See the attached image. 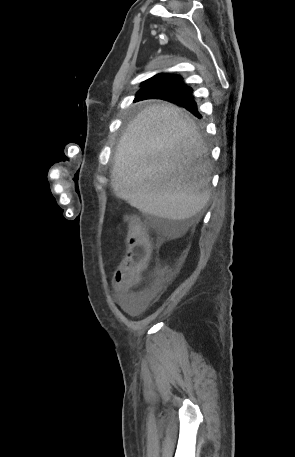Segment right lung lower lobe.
<instances>
[{"instance_id": "1", "label": "right lung lower lobe", "mask_w": 295, "mask_h": 457, "mask_svg": "<svg viewBox=\"0 0 295 457\" xmlns=\"http://www.w3.org/2000/svg\"><path fill=\"white\" fill-rule=\"evenodd\" d=\"M162 89H173L175 91H178L177 96H172L166 100L177 103V104L185 107L186 109H188L195 116L201 117L200 114L197 112V106H196V103L193 100V97L191 94L192 89L189 86L185 85L182 82L181 77H179V76L176 79H174L170 82H167V83L141 88L137 92L135 100L138 101V100L149 99V98H158L157 91L162 90Z\"/></svg>"}]
</instances>
